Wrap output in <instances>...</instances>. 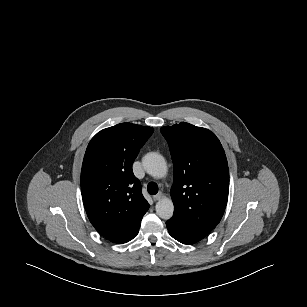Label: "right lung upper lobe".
Wrapping results in <instances>:
<instances>
[{"mask_svg":"<svg viewBox=\"0 0 307 307\" xmlns=\"http://www.w3.org/2000/svg\"><path fill=\"white\" fill-rule=\"evenodd\" d=\"M153 131L121 123L98 132L86 149L81 170L84 207L94 228L114 243L133 239L149 209L132 164Z\"/></svg>","mask_w":307,"mask_h":307,"instance_id":"right-lung-upper-lobe-1","label":"right lung upper lobe"}]
</instances>
